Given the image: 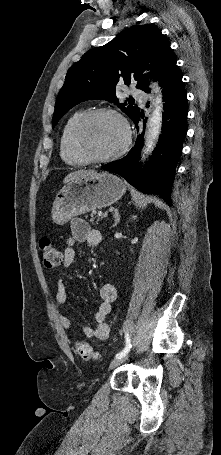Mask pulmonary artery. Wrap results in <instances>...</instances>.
I'll return each instance as SVG.
<instances>
[{
	"label": "pulmonary artery",
	"instance_id": "1",
	"mask_svg": "<svg viewBox=\"0 0 221 455\" xmlns=\"http://www.w3.org/2000/svg\"><path fill=\"white\" fill-rule=\"evenodd\" d=\"M129 93L135 97L143 96V92L140 89L135 88V87H131L129 90Z\"/></svg>",
	"mask_w": 221,
	"mask_h": 455
}]
</instances>
